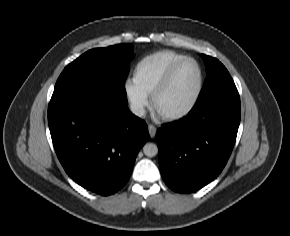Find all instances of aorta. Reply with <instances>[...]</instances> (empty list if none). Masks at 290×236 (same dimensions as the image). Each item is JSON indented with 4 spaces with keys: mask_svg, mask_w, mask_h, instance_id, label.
<instances>
[{
    "mask_svg": "<svg viewBox=\"0 0 290 236\" xmlns=\"http://www.w3.org/2000/svg\"><path fill=\"white\" fill-rule=\"evenodd\" d=\"M143 152L148 157H154L158 154V147L154 143H146L143 146Z\"/></svg>",
    "mask_w": 290,
    "mask_h": 236,
    "instance_id": "aorta-1",
    "label": "aorta"
}]
</instances>
